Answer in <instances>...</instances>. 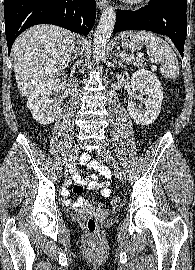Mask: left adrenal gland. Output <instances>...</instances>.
<instances>
[{"label":"left adrenal gland","mask_w":195,"mask_h":270,"mask_svg":"<svg viewBox=\"0 0 195 270\" xmlns=\"http://www.w3.org/2000/svg\"><path fill=\"white\" fill-rule=\"evenodd\" d=\"M117 61H118V53H116V54L114 55V62L117 63ZM118 64H119L120 66L122 65V63H121L120 60L118 61Z\"/></svg>","instance_id":"obj_1"}]
</instances>
